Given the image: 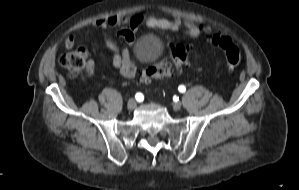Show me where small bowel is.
<instances>
[{
  "instance_id": "small-bowel-1",
  "label": "small bowel",
  "mask_w": 299,
  "mask_h": 190,
  "mask_svg": "<svg viewBox=\"0 0 299 190\" xmlns=\"http://www.w3.org/2000/svg\"><path fill=\"white\" fill-rule=\"evenodd\" d=\"M96 26L104 36L107 48L113 53V65L126 78H132L136 74V61L130 57L126 48L120 49L117 44L107 36L109 28L116 29V36L126 41L129 47H132L135 39V32L143 25L147 27L158 28L168 32H182L190 38L200 37L202 34L209 32V28L204 25H197L186 19L175 16L172 20L143 15H110L107 18L98 19ZM67 48L75 45L73 37H68L64 41ZM94 62L89 61L87 65L90 74L94 71Z\"/></svg>"
}]
</instances>
